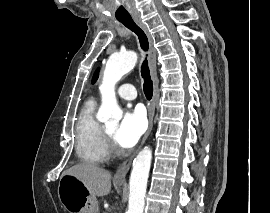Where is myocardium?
<instances>
[{"instance_id": "myocardium-1", "label": "myocardium", "mask_w": 270, "mask_h": 213, "mask_svg": "<svg viewBox=\"0 0 270 213\" xmlns=\"http://www.w3.org/2000/svg\"><path fill=\"white\" fill-rule=\"evenodd\" d=\"M104 136H105V140H106V144H107V148H108L109 153H111V154L117 153L118 149L114 143L113 136L110 134V132L106 128H104Z\"/></svg>"}]
</instances>
